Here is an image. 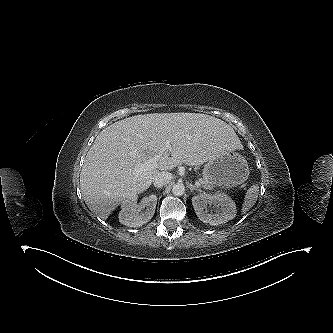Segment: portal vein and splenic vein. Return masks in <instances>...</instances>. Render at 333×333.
<instances>
[{
	"label": "portal vein and splenic vein",
	"mask_w": 333,
	"mask_h": 333,
	"mask_svg": "<svg viewBox=\"0 0 333 333\" xmlns=\"http://www.w3.org/2000/svg\"><path fill=\"white\" fill-rule=\"evenodd\" d=\"M171 150V145L169 141H166L165 146L159 151L157 155H155L153 158L149 159L148 161L140 164L136 168H134V172L140 173L142 171H147L155 168L157 166V162L159 161L162 156H165L168 151ZM197 186H201V183L198 181L196 182Z\"/></svg>",
	"instance_id": "obj_1"
}]
</instances>
